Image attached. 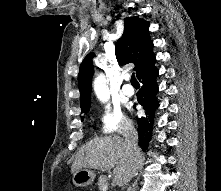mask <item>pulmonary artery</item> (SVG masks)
Returning <instances> with one entry per match:
<instances>
[{
    "mask_svg": "<svg viewBox=\"0 0 221 191\" xmlns=\"http://www.w3.org/2000/svg\"><path fill=\"white\" fill-rule=\"evenodd\" d=\"M124 95L130 97L134 95V88L130 84H125L122 88Z\"/></svg>",
    "mask_w": 221,
    "mask_h": 191,
    "instance_id": "obj_1",
    "label": "pulmonary artery"
}]
</instances>
